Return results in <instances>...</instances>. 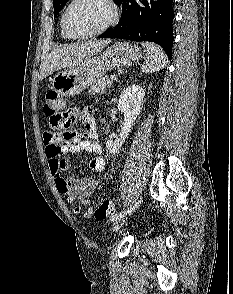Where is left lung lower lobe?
I'll list each match as a JSON object with an SVG mask.
<instances>
[{
  "label": "left lung lower lobe",
  "mask_w": 233,
  "mask_h": 294,
  "mask_svg": "<svg viewBox=\"0 0 233 294\" xmlns=\"http://www.w3.org/2000/svg\"><path fill=\"white\" fill-rule=\"evenodd\" d=\"M173 0H122V16L115 28L98 38L151 41L159 44L172 57L174 12Z\"/></svg>",
  "instance_id": "left-lung-lower-lobe-1"
}]
</instances>
